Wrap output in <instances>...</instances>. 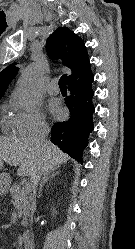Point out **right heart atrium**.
Returning a JSON list of instances; mask_svg holds the SVG:
<instances>
[{
  "mask_svg": "<svg viewBox=\"0 0 135 249\" xmlns=\"http://www.w3.org/2000/svg\"><path fill=\"white\" fill-rule=\"evenodd\" d=\"M12 105L17 109V113L12 117L11 122L14 131L18 135L31 136L47 132V122L38 107L24 108L15 101H13Z\"/></svg>",
  "mask_w": 135,
  "mask_h": 249,
  "instance_id": "d8ad5b80",
  "label": "right heart atrium"
}]
</instances>
